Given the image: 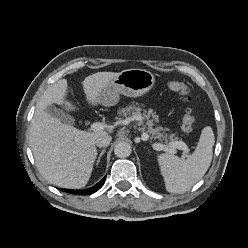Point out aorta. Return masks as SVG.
Returning a JSON list of instances; mask_svg holds the SVG:
<instances>
[{
	"label": "aorta",
	"instance_id": "aorta-1",
	"mask_svg": "<svg viewBox=\"0 0 248 248\" xmlns=\"http://www.w3.org/2000/svg\"><path fill=\"white\" fill-rule=\"evenodd\" d=\"M131 146L129 143L121 141L115 145L114 153L119 158L128 157L131 154Z\"/></svg>",
	"mask_w": 248,
	"mask_h": 248
}]
</instances>
